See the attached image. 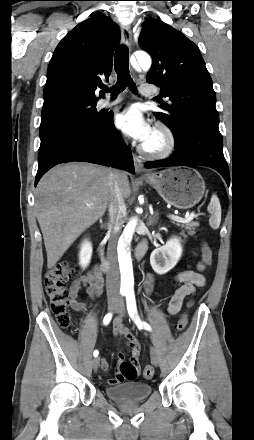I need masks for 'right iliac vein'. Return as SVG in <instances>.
Segmentation results:
<instances>
[{
    "instance_id": "63e3f726",
    "label": "right iliac vein",
    "mask_w": 254,
    "mask_h": 440,
    "mask_svg": "<svg viewBox=\"0 0 254 440\" xmlns=\"http://www.w3.org/2000/svg\"><path fill=\"white\" fill-rule=\"evenodd\" d=\"M108 310H109L110 312L115 311V310H116V305H115V303H110L109 306H108ZM99 364H100V358H99V357H95V358L93 359V361H92V365H93L94 370H97V369H98Z\"/></svg>"
}]
</instances>
